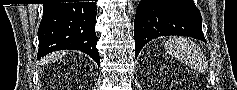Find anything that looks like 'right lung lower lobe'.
<instances>
[{
    "mask_svg": "<svg viewBox=\"0 0 237 90\" xmlns=\"http://www.w3.org/2000/svg\"><path fill=\"white\" fill-rule=\"evenodd\" d=\"M96 2L44 4L37 59L56 50H80L100 65L96 48Z\"/></svg>",
    "mask_w": 237,
    "mask_h": 90,
    "instance_id": "98d812e1",
    "label": "right lung lower lobe"
}]
</instances>
